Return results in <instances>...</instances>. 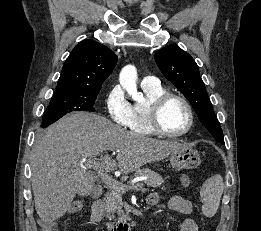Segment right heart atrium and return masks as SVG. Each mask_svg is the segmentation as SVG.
I'll list each match as a JSON object with an SVG mask.
<instances>
[{
    "instance_id": "1",
    "label": "right heart atrium",
    "mask_w": 261,
    "mask_h": 231,
    "mask_svg": "<svg viewBox=\"0 0 261 231\" xmlns=\"http://www.w3.org/2000/svg\"><path fill=\"white\" fill-rule=\"evenodd\" d=\"M105 106L112 122L122 127L128 126L131 104L120 86H114L109 91L106 96Z\"/></svg>"
}]
</instances>
